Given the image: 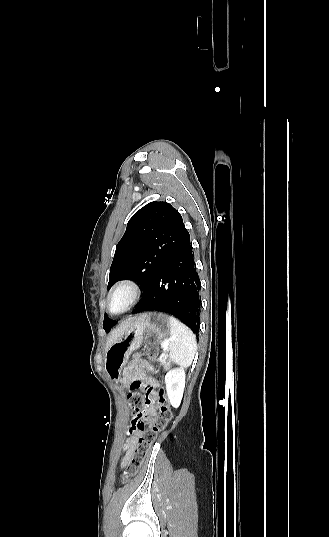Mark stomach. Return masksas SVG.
<instances>
[{
	"label": "stomach",
	"instance_id": "obj_1",
	"mask_svg": "<svg viewBox=\"0 0 329 537\" xmlns=\"http://www.w3.org/2000/svg\"><path fill=\"white\" fill-rule=\"evenodd\" d=\"M170 317L163 313L141 314L133 324L116 339L105 354V370L109 377L119 379L129 355L143 343L150 334L162 343L170 335Z\"/></svg>",
	"mask_w": 329,
	"mask_h": 537
}]
</instances>
